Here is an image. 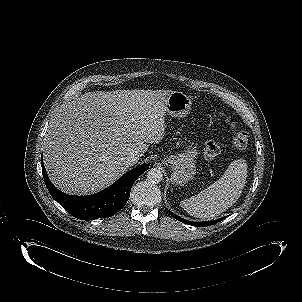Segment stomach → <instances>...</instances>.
Returning <instances> with one entry per match:
<instances>
[{
    "label": "stomach",
    "mask_w": 302,
    "mask_h": 302,
    "mask_svg": "<svg viewBox=\"0 0 302 302\" xmlns=\"http://www.w3.org/2000/svg\"><path fill=\"white\" fill-rule=\"evenodd\" d=\"M192 98L181 91H173L167 98L165 112L174 117H185L191 110ZM199 151L188 147L181 153L163 158V163L172 169L171 181L183 186L196 175V159Z\"/></svg>",
    "instance_id": "stomach-1"
}]
</instances>
